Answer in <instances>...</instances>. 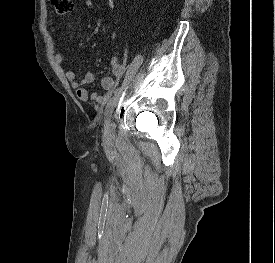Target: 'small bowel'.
Instances as JSON below:
<instances>
[{"label": "small bowel", "mask_w": 275, "mask_h": 263, "mask_svg": "<svg viewBox=\"0 0 275 263\" xmlns=\"http://www.w3.org/2000/svg\"><path fill=\"white\" fill-rule=\"evenodd\" d=\"M80 7L83 10L91 9L93 7V0H82ZM54 58L57 63L62 64L64 61V54L62 52H58L55 54ZM111 64L113 75L104 77L101 80V85L106 90V94L103 96L97 95L95 93L90 94L86 88L87 84H91L97 81V77L93 72H87L84 78L79 80L73 70L66 71V79L71 84L79 100L90 101L91 103L105 102L117 90L120 79L124 77L126 73V67L119 62L117 57L112 58Z\"/></svg>", "instance_id": "c3829d8e"}]
</instances>
